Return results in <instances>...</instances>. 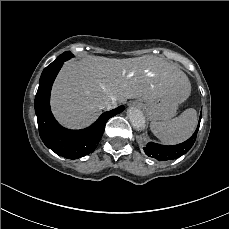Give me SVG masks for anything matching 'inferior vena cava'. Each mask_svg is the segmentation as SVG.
Segmentation results:
<instances>
[{
    "instance_id": "1",
    "label": "inferior vena cava",
    "mask_w": 229,
    "mask_h": 229,
    "mask_svg": "<svg viewBox=\"0 0 229 229\" xmlns=\"http://www.w3.org/2000/svg\"><path fill=\"white\" fill-rule=\"evenodd\" d=\"M116 101L115 100H109V101H105L104 104L102 105V108L104 109H111L114 106H116Z\"/></svg>"
}]
</instances>
